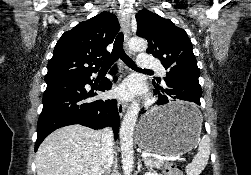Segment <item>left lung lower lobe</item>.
<instances>
[{
    "label": "left lung lower lobe",
    "instance_id": "obj_1",
    "mask_svg": "<svg viewBox=\"0 0 251 175\" xmlns=\"http://www.w3.org/2000/svg\"><path fill=\"white\" fill-rule=\"evenodd\" d=\"M153 83L155 84V81H153ZM165 83L168 87L166 89L155 86L156 90H154V94H158V105L168 103L171 98L188 101L190 103L151 115L148 121L155 123L198 119L201 115L199 106L201 105L200 97L202 95L199 81L183 75H173L167 78ZM158 88L162 93H158Z\"/></svg>",
    "mask_w": 251,
    "mask_h": 175
}]
</instances>
